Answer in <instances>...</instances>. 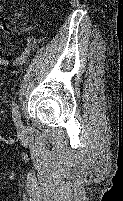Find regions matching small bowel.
Here are the masks:
<instances>
[{
    "mask_svg": "<svg viewBox=\"0 0 123 201\" xmlns=\"http://www.w3.org/2000/svg\"><path fill=\"white\" fill-rule=\"evenodd\" d=\"M2 12V5H0V14ZM1 28L11 37H15L17 30L7 24H0ZM16 44L18 45L17 41ZM30 54V47L24 49L21 54L13 61H9L0 55V67H18L25 63Z\"/></svg>",
    "mask_w": 123,
    "mask_h": 201,
    "instance_id": "small-bowel-1",
    "label": "small bowel"
}]
</instances>
